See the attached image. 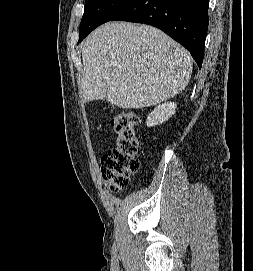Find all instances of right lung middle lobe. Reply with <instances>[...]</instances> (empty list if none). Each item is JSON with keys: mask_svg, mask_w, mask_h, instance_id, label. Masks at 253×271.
<instances>
[{"mask_svg": "<svg viewBox=\"0 0 253 271\" xmlns=\"http://www.w3.org/2000/svg\"><path fill=\"white\" fill-rule=\"evenodd\" d=\"M131 0H85L80 23L79 42L97 26L110 21Z\"/></svg>", "mask_w": 253, "mask_h": 271, "instance_id": "1", "label": "right lung middle lobe"}]
</instances>
